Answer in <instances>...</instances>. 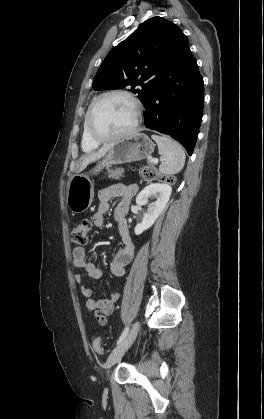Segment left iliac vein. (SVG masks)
Returning <instances> with one entry per match:
<instances>
[{
  "label": "left iliac vein",
  "mask_w": 264,
  "mask_h": 419,
  "mask_svg": "<svg viewBox=\"0 0 264 419\" xmlns=\"http://www.w3.org/2000/svg\"><path fill=\"white\" fill-rule=\"evenodd\" d=\"M140 324L138 321H136L129 333L126 335V337L117 345V347L110 353L107 362H106V368H111L114 364H116L125 354V352L130 348V346L133 344V342L136 339V336L139 331Z\"/></svg>",
  "instance_id": "1"
}]
</instances>
